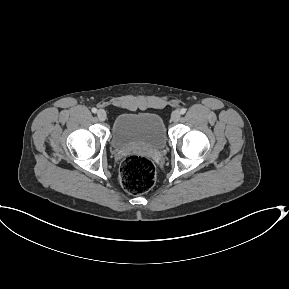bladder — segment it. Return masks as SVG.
Masks as SVG:
<instances>
[{"label": "bladder", "instance_id": "bladder-1", "mask_svg": "<svg viewBox=\"0 0 289 289\" xmlns=\"http://www.w3.org/2000/svg\"><path fill=\"white\" fill-rule=\"evenodd\" d=\"M166 142L164 122L156 113H122L112 126L111 145L115 149L141 147L159 150Z\"/></svg>", "mask_w": 289, "mask_h": 289}]
</instances>
